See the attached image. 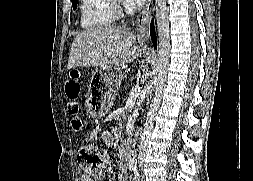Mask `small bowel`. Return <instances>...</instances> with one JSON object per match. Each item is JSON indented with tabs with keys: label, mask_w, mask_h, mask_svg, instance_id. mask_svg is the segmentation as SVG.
<instances>
[{
	"label": "small bowel",
	"mask_w": 253,
	"mask_h": 181,
	"mask_svg": "<svg viewBox=\"0 0 253 181\" xmlns=\"http://www.w3.org/2000/svg\"><path fill=\"white\" fill-rule=\"evenodd\" d=\"M103 141L106 145L111 146L114 144L115 135L111 131H105L102 135ZM128 164H129V154L128 150H125L122 153L121 158L117 161V180L118 181H127L128 180ZM104 174L99 173L95 176L83 175L81 181H94L103 179Z\"/></svg>",
	"instance_id": "1"
}]
</instances>
